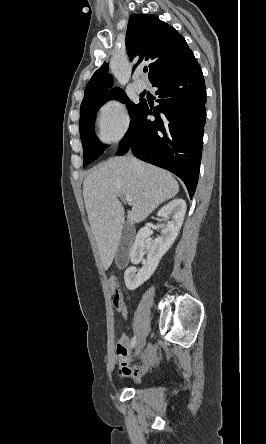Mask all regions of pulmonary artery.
Here are the masks:
<instances>
[{"mask_svg":"<svg viewBox=\"0 0 266 444\" xmlns=\"http://www.w3.org/2000/svg\"><path fill=\"white\" fill-rule=\"evenodd\" d=\"M137 75H139V73H137ZM132 85L137 92H142L145 89V84L138 79H134Z\"/></svg>","mask_w":266,"mask_h":444,"instance_id":"e3ab8cb5","label":"pulmonary artery"}]
</instances>
